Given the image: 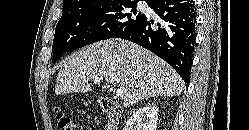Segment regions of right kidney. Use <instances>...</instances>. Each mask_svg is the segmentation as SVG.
<instances>
[{"label": "right kidney", "mask_w": 249, "mask_h": 130, "mask_svg": "<svg viewBox=\"0 0 249 130\" xmlns=\"http://www.w3.org/2000/svg\"><path fill=\"white\" fill-rule=\"evenodd\" d=\"M158 111L155 105L139 108L128 119L124 130H156Z\"/></svg>", "instance_id": "right-kidney-1"}]
</instances>
